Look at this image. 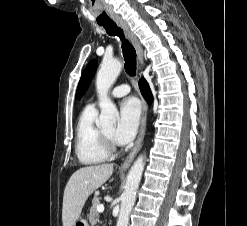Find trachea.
<instances>
[{
  "label": "trachea",
  "instance_id": "trachea-1",
  "mask_svg": "<svg viewBox=\"0 0 247 226\" xmlns=\"http://www.w3.org/2000/svg\"><path fill=\"white\" fill-rule=\"evenodd\" d=\"M99 25L104 27L108 35L117 36L120 38L122 41L121 47L125 60V71L131 77L136 76V51L133 45L125 38L123 30L113 21Z\"/></svg>",
  "mask_w": 247,
  "mask_h": 226
}]
</instances>
